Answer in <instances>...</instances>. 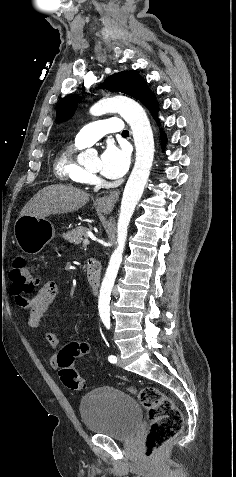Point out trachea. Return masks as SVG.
<instances>
[{
    "instance_id": "3493384b",
    "label": "trachea",
    "mask_w": 236,
    "mask_h": 477,
    "mask_svg": "<svg viewBox=\"0 0 236 477\" xmlns=\"http://www.w3.org/2000/svg\"><path fill=\"white\" fill-rule=\"evenodd\" d=\"M122 134H129V132L127 130H124Z\"/></svg>"
}]
</instances>
